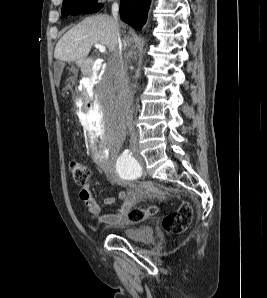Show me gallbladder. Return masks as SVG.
I'll return each instance as SVG.
<instances>
[{
	"mask_svg": "<svg viewBox=\"0 0 267 298\" xmlns=\"http://www.w3.org/2000/svg\"><path fill=\"white\" fill-rule=\"evenodd\" d=\"M56 71H57V72H60V69H57Z\"/></svg>",
	"mask_w": 267,
	"mask_h": 298,
	"instance_id": "obj_1",
	"label": "gallbladder"
}]
</instances>
